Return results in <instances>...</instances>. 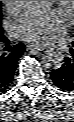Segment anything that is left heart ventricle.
Instances as JSON below:
<instances>
[{"label": "left heart ventricle", "instance_id": "1", "mask_svg": "<svg viewBox=\"0 0 74 122\" xmlns=\"http://www.w3.org/2000/svg\"><path fill=\"white\" fill-rule=\"evenodd\" d=\"M64 14H65V16H66V17H68V14H67V12H66V11H64Z\"/></svg>", "mask_w": 74, "mask_h": 122}]
</instances>
